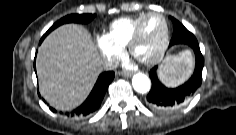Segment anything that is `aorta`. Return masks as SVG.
I'll return each instance as SVG.
<instances>
[{
  "instance_id": "obj_1",
  "label": "aorta",
  "mask_w": 236,
  "mask_h": 135,
  "mask_svg": "<svg viewBox=\"0 0 236 135\" xmlns=\"http://www.w3.org/2000/svg\"><path fill=\"white\" fill-rule=\"evenodd\" d=\"M132 85L136 92L146 93L151 88V82L147 75L143 73H137L132 78Z\"/></svg>"
}]
</instances>
